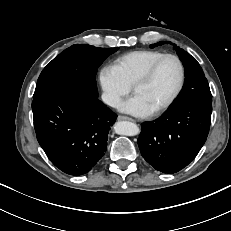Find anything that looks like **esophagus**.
Here are the masks:
<instances>
[{"instance_id":"34e87169","label":"esophagus","mask_w":231,"mask_h":231,"mask_svg":"<svg viewBox=\"0 0 231 231\" xmlns=\"http://www.w3.org/2000/svg\"><path fill=\"white\" fill-rule=\"evenodd\" d=\"M118 120L134 121L132 118H130L128 116H123V115L118 116Z\"/></svg>"}]
</instances>
